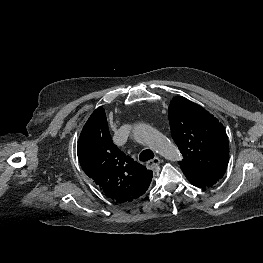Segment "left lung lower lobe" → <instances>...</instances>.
<instances>
[{
    "instance_id": "obj_1",
    "label": "left lung lower lobe",
    "mask_w": 263,
    "mask_h": 263,
    "mask_svg": "<svg viewBox=\"0 0 263 263\" xmlns=\"http://www.w3.org/2000/svg\"><path fill=\"white\" fill-rule=\"evenodd\" d=\"M183 173L191 184L199 188L213 186L224 175L219 172H202L192 170L183 171Z\"/></svg>"
}]
</instances>
